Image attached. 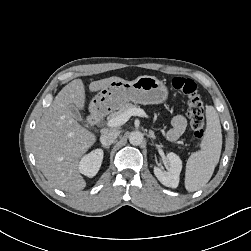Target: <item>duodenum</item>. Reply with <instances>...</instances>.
Here are the masks:
<instances>
[{
	"mask_svg": "<svg viewBox=\"0 0 251 251\" xmlns=\"http://www.w3.org/2000/svg\"><path fill=\"white\" fill-rule=\"evenodd\" d=\"M100 120V115L99 114H93L91 117H90V123L95 125L99 122Z\"/></svg>",
	"mask_w": 251,
	"mask_h": 251,
	"instance_id": "410a0bca",
	"label": "duodenum"
}]
</instances>
